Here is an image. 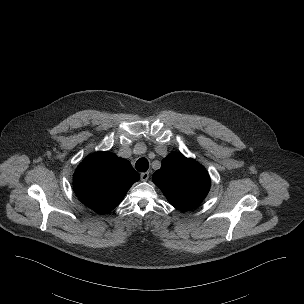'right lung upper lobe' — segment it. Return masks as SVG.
I'll return each mask as SVG.
<instances>
[{"label": "right lung upper lobe", "instance_id": "obj_1", "mask_svg": "<svg viewBox=\"0 0 304 304\" xmlns=\"http://www.w3.org/2000/svg\"><path fill=\"white\" fill-rule=\"evenodd\" d=\"M139 179V174L126 159L110 152H96L79 164L73 186L86 206L99 213H109Z\"/></svg>", "mask_w": 304, "mask_h": 304}]
</instances>
